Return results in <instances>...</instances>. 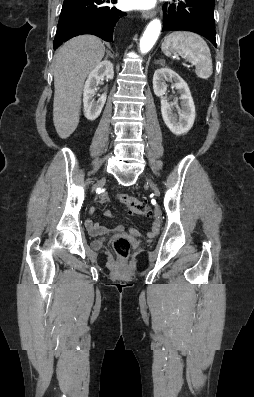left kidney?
Instances as JSON below:
<instances>
[{
    "label": "left kidney",
    "mask_w": 254,
    "mask_h": 397,
    "mask_svg": "<svg viewBox=\"0 0 254 397\" xmlns=\"http://www.w3.org/2000/svg\"><path fill=\"white\" fill-rule=\"evenodd\" d=\"M165 81H171L173 86L179 90L181 94L179 97L180 107L177 100L168 102L166 99L167 85ZM153 90L155 95L161 99L162 117L169 130L177 136L186 134L192 128L195 120V105L187 83L175 71L161 68L154 73Z\"/></svg>",
    "instance_id": "5707ae66"
}]
</instances>
